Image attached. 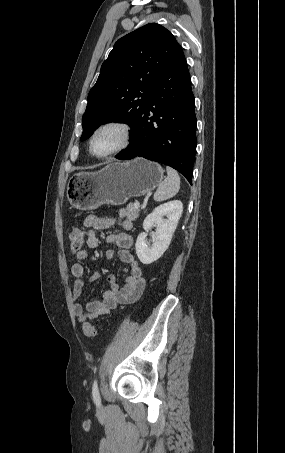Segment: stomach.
<instances>
[{"label": "stomach", "instance_id": "0dacf381", "mask_svg": "<svg viewBox=\"0 0 285 453\" xmlns=\"http://www.w3.org/2000/svg\"><path fill=\"white\" fill-rule=\"evenodd\" d=\"M163 174L159 164L143 158L110 163L97 172L74 174L68 183V200L79 210H94L103 204L122 205L131 197L154 190Z\"/></svg>", "mask_w": 285, "mask_h": 453}]
</instances>
